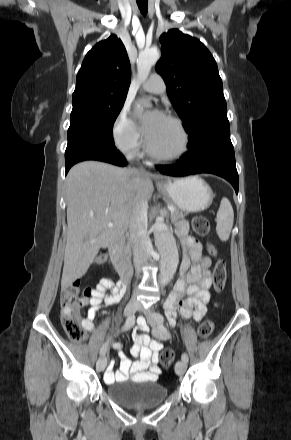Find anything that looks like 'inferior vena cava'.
<instances>
[{"mask_svg": "<svg viewBox=\"0 0 291 440\" xmlns=\"http://www.w3.org/2000/svg\"><path fill=\"white\" fill-rule=\"evenodd\" d=\"M140 171L145 172L144 169ZM147 226V206L144 202L138 203L132 211L129 225V239L133 249L134 266L138 274L152 251V244L147 235ZM132 301L138 304L135 293L132 296Z\"/></svg>", "mask_w": 291, "mask_h": 440, "instance_id": "inferior-vena-cava-1", "label": "inferior vena cava"}]
</instances>
